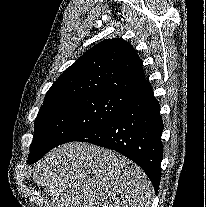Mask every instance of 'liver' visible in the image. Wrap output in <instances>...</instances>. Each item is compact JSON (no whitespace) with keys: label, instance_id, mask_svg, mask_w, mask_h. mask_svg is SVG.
Returning <instances> with one entry per match:
<instances>
[{"label":"liver","instance_id":"liver-1","mask_svg":"<svg viewBox=\"0 0 206 207\" xmlns=\"http://www.w3.org/2000/svg\"><path fill=\"white\" fill-rule=\"evenodd\" d=\"M33 181L50 207H149L150 180L121 154L70 142L48 152L34 167Z\"/></svg>","mask_w":206,"mask_h":207}]
</instances>
